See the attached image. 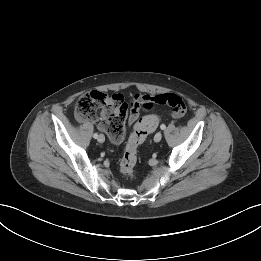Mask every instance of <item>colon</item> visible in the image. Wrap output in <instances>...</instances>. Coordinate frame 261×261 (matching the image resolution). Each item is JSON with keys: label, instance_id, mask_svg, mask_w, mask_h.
I'll return each instance as SVG.
<instances>
[{"label": "colon", "instance_id": "colon-1", "mask_svg": "<svg viewBox=\"0 0 261 261\" xmlns=\"http://www.w3.org/2000/svg\"><path fill=\"white\" fill-rule=\"evenodd\" d=\"M153 104L169 108L174 117H182L186 113L184 101L176 94L156 95ZM75 115L79 121L101 118V129L107 133L110 140L115 144H120L127 134L125 122L128 115V105L118 95H109L99 91L86 93L77 100ZM158 120L157 116L150 115L141 118L135 124L120 161V172L123 175L134 176L138 148L147 135L156 129Z\"/></svg>", "mask_w": 261, "mask_h": 261}]
</instances>
